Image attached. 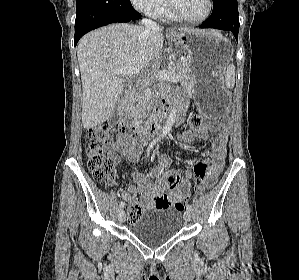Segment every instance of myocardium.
Returning a JSON list of instances; mask_svg holds the SVG:
<instances>
[{
	"label": "myocardium",
	"mask_w": 299,
	"mask_h": 280,
	"mask_svg": "<svg viewBox=\"0 0 299 280\" xmlns=\"http://www.w3.org/2000/svg\"><path fill=\"white\" fill-rule=\"evenodd\" d=\"M166 4H167V7H168L169 11L171 12V14L175 18H177L181 21L187 22V23H191V24H200V23L206 21L209 18V16L211 15L212 9H213V1L212 0H207L208 7H207V11L204 14V16H202L199 19H190V18L186 17L179 10V8L177 7V5L175 3V0H166Z\"/></svg>",
	"instance_id": "f54148a6"
}]
</instances>
